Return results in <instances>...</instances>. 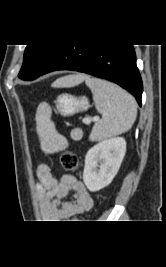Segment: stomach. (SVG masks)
Listing matches in <instances>:
<instances>
[{
	"mask_svg": "<svg viewBox=\"0 0 166 267\" xmlns=\"http://www.w3.org/2000/svg\"><path fill=\"white\" fill-rule=\"evenodd\" d=\"M58 111L64 116H72L75 113L86 111L89 102L86 97H75L71 94H61L56 100Z\"/></svg>",
	"mask_w": 166,
	"mask_h": 267,
	"instance_id": "1",
	"label": "stomach"
}]
</instances>
